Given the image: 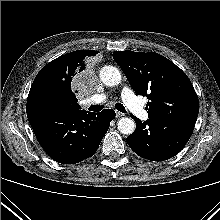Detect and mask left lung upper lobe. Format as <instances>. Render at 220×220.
<instances>
[{
	"label": "left lung upper lobe",
	"instance_id": "5c2ea615",
	"mask_svg": "<svg viewBox=\"0 0 220 220\" xmlns=\"http://www.w3.org/2000/svg\"><path fill=\"white\" fill-rule=\"evenodd\" d=\"M113 58L137 95L147 96L150 119L164 116H198L199 102L187 75L157 53L114 51Z\"/></svg>",
	"mask_w": 220,
	"mask_h": 220
}]
</instances>
